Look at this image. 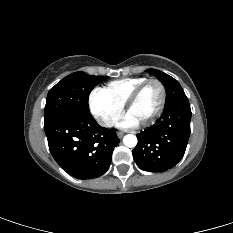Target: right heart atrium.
<instances>
[{"mask_svg": "<svg viewBox=\"0 0 233 233\" xmlns=\"http://www.w3.org/2000/svg\"><path fill=\"white\" fill-rule=\"evenodd\" d=\"M88 105L93 117L101 126L106 128L112 127L123 113V107L113 102L103 89L91 91Z\"/></svg>", "mask_w": 233, "mask_h": 233, "instance_id": "d8ad5b80", "label": "right heart atrium"}]
</instances>
